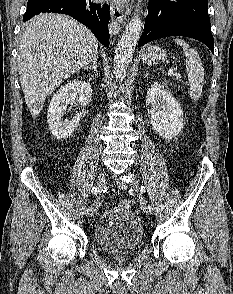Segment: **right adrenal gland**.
Here are the masks:
<instances>
[{"label": "right adrenal gland", "instance_id": "right-adrenal-gland-1", "mask_svg": "<svg viewBox=\"0 0 233 294\" xmlns=\"http://www.w3.org/2000/svg\"><path fill=\"white\" fill-rule=\"evenodd\" d=\"M97 61H98V56H96L92 63L90 65H87L85 67V70H88V69H93L96 73H97V70H98V67H97Z\"/></svg>", "mask_w": 233, "mask_h": 294}]
</instances>
